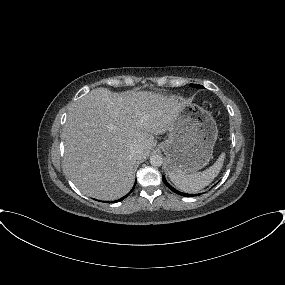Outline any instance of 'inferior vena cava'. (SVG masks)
Here are the masks:
<instances>
[{
	"mask_svg": "<svg viewBox=\"0 0 285 285\" xmlns=\"http://www.w3.org/2000/svg\"><path fill=\"white\" fill-rule=\"evenodd\" d=\"M130 154L132 157H134L135 159H138L140 157V154H141V148L139 145L137 144H133L131 147H130Z\"/></svg>",
	"mask_w": 285,
	"mask_h": 285,
	"instance_id": "obj_1",
	"label": "inferior vena cava"
}]
</instances>
